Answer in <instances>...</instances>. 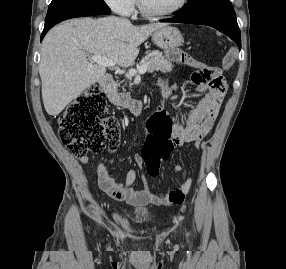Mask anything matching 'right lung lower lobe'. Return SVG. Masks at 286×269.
<instances>
[{
  "instance_id": "1",
  "label": "right lung lower lobe",
  "mask_w": 286,
  "mask_h": 269,
  "mask_svg": "<svg viewBox=\"0 0 286 269\" xmlns=\"http://www.w3.org/2000/svg\"><path fill=\"white\" fill-rule=\"evenodd\" d=\"M84 16H87V15H84ZM80 17V16H79ZM59 23V22H58ZM57 23H54V24H51V25H48V26H44V30L41 34V41L42 39L44 38L45 34L54 26L56 25Z\"/></svg>"
}]
</instances>
